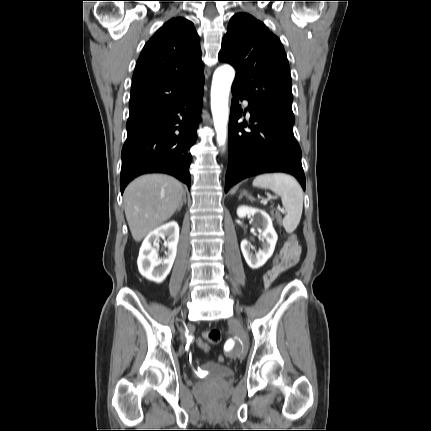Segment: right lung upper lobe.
Segmentation results:
<instances>
[{
  "label": "right lung upper lobe",
  "mask_w": 431,
  "mask_h": 431,
  "mask_svg": "<svg viewBox=\"0 0 431 431\" xmlns=\"http://www.w3.org/2000/svg\"><path fill=\"white\" fill-rule=\"evenodd\" d=\"M204 82L199 36L192 22L174 18L144 46L133 74L130 116L171 104Z\"/></svg>",
  "instance_id": "obj_1"
}]
</instances>
